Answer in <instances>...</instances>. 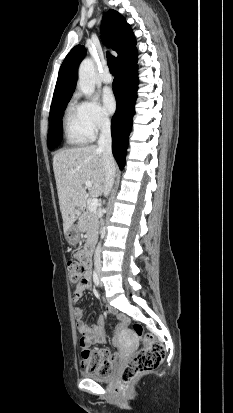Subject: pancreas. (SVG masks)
Segmentation results:
<instances>
[{"mask_svg": "<svg viewBox=\"0 0 233 413\" xmlns=\"http://www.w3.org/2000/svg\"><path fill=\"white\" fill-rule=\"evenodd\" d=\"M98 215L95 212L86 211L78 221V227L81 232H86L87 242H92L98 234Z\"/></svg>", "mask_w": 233, "mask_h": 413, "instance_id": "1", "label": "pancreas"}]
</instances>
